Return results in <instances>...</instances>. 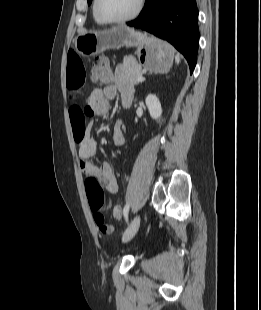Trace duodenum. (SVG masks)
I'll return each mask as SVG.
<instances>
[{"instance_id": "410a0bca", "label": "duodenum", "mask_w": 261, "mask_h": 310, "mask_svg": "<svg viewBox=\"0 0 261 310\" xmlns=\"http://www.w3.org/2000/svg\"><path fill=\"white\" fill-rule=\"evenodd\" d=\"M131 102H132V100L130 99V98H124L123 100H122V104H123V106L124 107H130V105H131Z\"/></svg>"}]
</instances>
